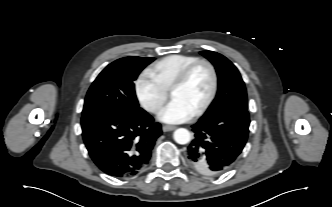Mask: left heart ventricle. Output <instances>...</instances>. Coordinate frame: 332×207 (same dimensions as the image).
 Listing matches in <instances>:
<instances>
[{"label":"left heart ventricle","mask_w":332,"mask_h":207,"mask_svg":"<svg viewBox=\"0 0 332 207\" xmlns=\"http://www.w3.org/2000/svg\"><path fill=\"white\" fill-rule=\"evenodd\" d=\"M211 74L205 65L197 66L183 86L170 93L172 99H178L194 112L207 98L211 88Z\"/></svg>","instance_id":"1"}]
</instances>
